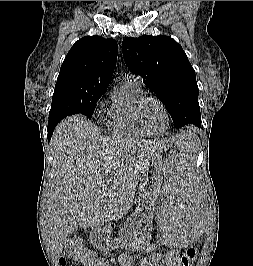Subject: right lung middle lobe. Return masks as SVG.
Returning a JSON list of instances; mask_svg holds the SVG:
<instances>
[{"instance_id":"1","label":"right lung middle lobe","mask_w":253,"mask_h":266,"mask_svg":"<svg viewBox=\"0 0 253 266\" xmlns=\"http://www.w3.org/2000/svg\"><path fill=\"white\" fill-rule=\"evenodd\" d=\"M103 93L97 92L77 98L52 99L48 123L60 122L63 118L78 113L90 118L97 101Z\"/></svg>"}]
</instances>
